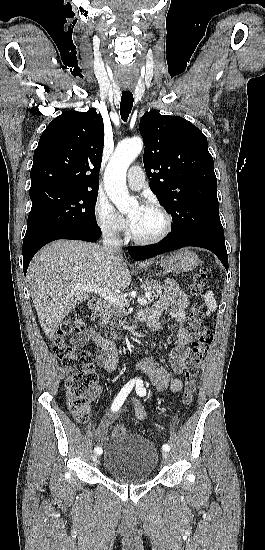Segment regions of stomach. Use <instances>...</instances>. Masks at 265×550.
<instances>
[{
    "label": "stomach",
    "instance_id": "obj_1",
    "mask_svg": "<svg viewBox=\"0 0 265 550\" xmlns=\"http://www.w3.org/2000/svg\"><path fill=\"white\" fill-rule=\"evenodd\" d=\"M199 263L200 260L194 252L181 250L162 257L158 265L167 273H180L195 269Z\"/></svg>",
    "mask_w": 265,
    "mask_h": 550
}]
</instances>
